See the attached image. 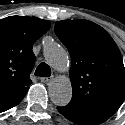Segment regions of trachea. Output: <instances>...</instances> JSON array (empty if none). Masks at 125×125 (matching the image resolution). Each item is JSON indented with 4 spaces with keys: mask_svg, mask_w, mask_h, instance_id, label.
<instances>
[{
    "mask_svg": "<svg viewBox=\"0 0 125 125\" xmlns=\"http://www.w3.org/2000/svg\"><path fill=\"white\" fill-rule=\"evenodd\" d=\"M35 75L40 77H49L51 76V68L46 63H41L37 67Z\"/></svg>",
    "mask_w": 125,
    "mask_h": 125,
    "instance_id": "1",
    "label": "trachea"
}]
</instances>
